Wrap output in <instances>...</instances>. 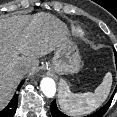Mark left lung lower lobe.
<instances>
[{
  "label": "left lung lower lobe",
  "mask_w": 117,
  "mask_h": 117,
  "mask_svg": "<svg viewBox=\"0 0 117 117\" xmlns=\"http://www.w3.org/2000/svg\"><path fill=\"white\" fill-rule=\"evenodd\" d=\"M116 66H117V60H116ZM116 91H117V87L115 88V91L112 94L110 100L101 109H99L98 111H96L95 113H93L87 117H102L106 113V111L108 110ZM50 111H51V114L53 117H68L67 115L63 114L62 112H60L58 110L56 103H55V100L51 103Z\"/></svg>",
  "instance_id": "obj_1"
}]
</instances>
